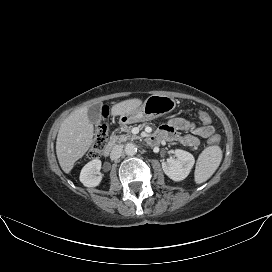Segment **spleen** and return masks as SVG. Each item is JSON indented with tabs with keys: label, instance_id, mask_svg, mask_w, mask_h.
Wrapping results in <instances>:
<instances>
[{
	"label": "spleen",
	"instance_id": "1",
	"mask_svg": "<svg viewBox=\"0 0 272 272\" xmlns=\"http://www.w3.org/2000/svg\"><path fill=\"white\" fill-rule=\"evenodd\" d=\"M222 150L219 146H209L199 155L195 168V182L197 184L208 180L220 165Z\"/></svg>",
	"mask_w": 272,
	"mask_h": 272
}]
</instances>
